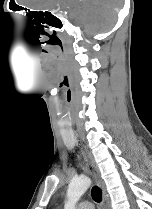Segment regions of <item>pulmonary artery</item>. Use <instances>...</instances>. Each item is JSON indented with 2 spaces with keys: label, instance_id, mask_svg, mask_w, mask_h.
I'll return each mask as SVG.
<instances>
[{
  "label": "pulmonary artery",
  "instance_id": "e3ab8cb5",
  "mask_svg": "<svg viewBox=\"0 0 152 209\" xmlns=\"http://www.w3.org/2000/svg\"><path fill=\"white\" fill-rule=\"evenodd\" d=\"M77 209H94L92 203L84 201L78 204Z\"/></svg>",
  "mask_w": 152,
  "mask_h": 209
}]
</instances>
